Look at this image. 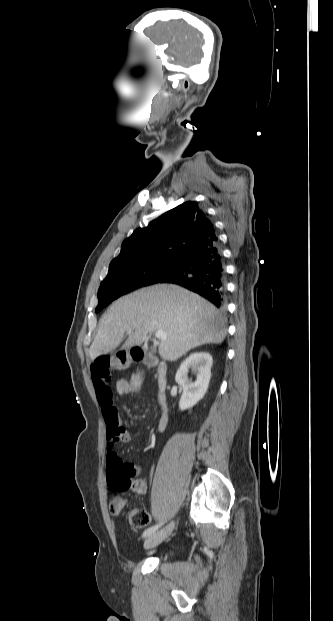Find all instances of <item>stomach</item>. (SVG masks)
<instances>
[{"instance_id": "1", "label": "stomach", "mask_w": 333, "mask_h": 621, "mask_svg": "<svg viewBox=\"0 0 333 621\" xmlns=\"http://www.w3.org/2000/svg\"><path fill=\"white\" fill-rule=\"evenodd\" d=\"M116 357H117V359L122 360V359H124L125 354H124V352L119 351V352H117ZM128 358H129V356L127 355L126 356V361H128Z\"/></svg>"}]
</instances>
